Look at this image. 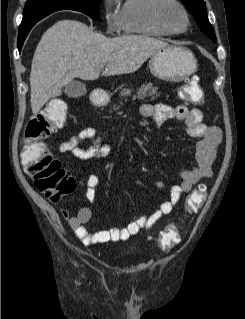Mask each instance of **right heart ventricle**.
<instances>
[{"mask_svg": "<svg viewBox=\"0 0 245 319\" xmlns=\"http://www.w3.org/2000/svg\"><path fill=\"white\" fill-rule=\"evenodd\" d=\"M157 0H123L118 17L121 30L129 34L167 36V32L154 19L152 7Z\"/></svg>", "mask_w": 245, "mask_h": 319, "instance_id": "right-heart-ventricle-1", "label": "right heart ventricle"}]
</instances>
